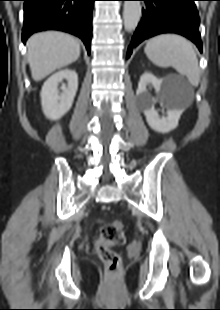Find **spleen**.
<instances>
[{"label":"spleen","mask_w":220,"mask_h":310,"mask_svg":"<svg viewBox=\"0 0 220 310\" xmlns=\"http://www.w3.org/2000/svg\"><path fill=\"white\" fill-rule=\"evenodd\" d=\"M148 59L159 67H173L188 78L190 84H199V66L192 44L182 36L162 34L150 39L145 47Z\"/></svg>","instance_id":"3e777b00"}]
</instances>
